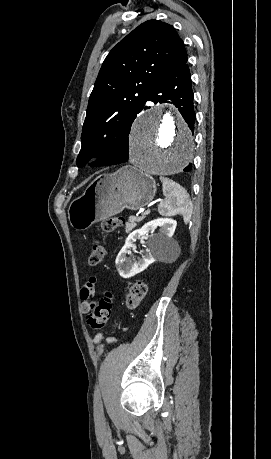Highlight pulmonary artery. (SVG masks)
<instances>
[{
	"mask_svg": "<svg viewBox=\"0 0 271 459\" xmlns=\"http://www.w3.org/2000/svg\"><path fill=\"white\" fill-rule=\"evenodd\" d=\"M145 103L147 104V107H148V108H151V107H152V104L154 103V100H153L151 97H148V98L145 100Z\"/></svg>",
	"mask_w": 271,
	"mask_h": 459,
	"instance_id": "pulmonary-artery-1",
	"label": "pulmonary artery"
}]
</instances>
